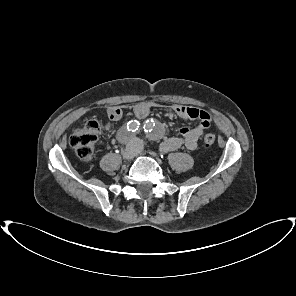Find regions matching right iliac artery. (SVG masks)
<instances>
[{
	"label": "right iliac artery",
	"instance_id": "right-iliac-artery-1",
	"mask_svg": "<svg viewBox=\"0 0 296 296\" xmlns=\"http://www.w3.org/2000/svg\"><path fill=\"white\" fill-rule=\"evenodd\" d=\"M139 122L132 120L124 126L119 133V140L121 143H125L128 140V132H136L139 129Z\"/></svg>",
	"mask_w": 296,
	"mask_h": 296
}]
</instances>
